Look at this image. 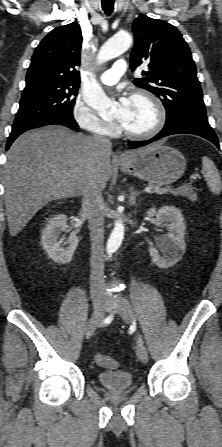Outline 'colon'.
I'll use <instances>...</instances> for the list:
<instances>
[{"label":"colon","mask_w":222,"mask_h":447,"mask_svg":"<svg viewBox=\"0 0 222 447\" xmlns=\"http://www.w3.org/2000/svg\"><path fill=\"white\" fill-rule=\"evenodd\" d=\"M96 362L103 367L114 369L118 367L119 361L115 358L103 355V354H97L95 357Z\"/></svg>","instance_id":"1"}]
</instances>
